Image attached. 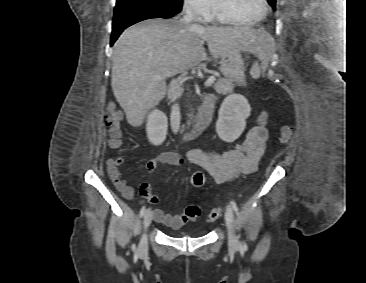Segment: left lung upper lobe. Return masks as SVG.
<instances>
[{
    "label": "left lung upper lobe",
    "instance_id": "1",
    "mask_svg": "<svg viewBox=\"0 0 366 283\" xmlns=\"http://www.w3.org/2000/svg\"><path fill=\"white\" fill-rule=\"evenodd\" d=\"M267 1L272 6V8L275 10L276 0H267Z\"/></svg>",
    "mask_w": 366,
    "mask_h": 283
}]
</instances>
